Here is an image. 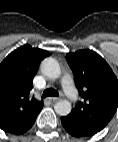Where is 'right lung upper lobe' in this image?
Here are the masks:
<instances>
[{
	"label": "right lung upper lobe",
	"instance_id": "obj_1",
	"mask_svg": "<svg viewBox=\"0 0 118 142\" xmlns=\"http://www.w3.org/2000/svg\"><path fill=\"white\" fill-rule=\"evenodd\" d=\"M48 55L24 45L0 64V128L4 131L20 134L33 125L43 102L30 98L29 93L38 65Z\"/></svg>",
	"mask_w": 118,
	"mask_h": 142
}]
</instances>
